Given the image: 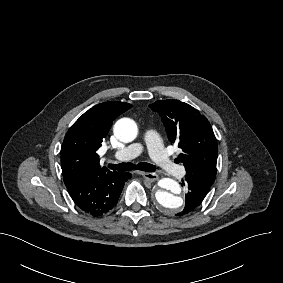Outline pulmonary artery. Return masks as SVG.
Wrapping results in <instances>:
<instances>
[{
  "instance_id": "e3ab8cb5",
  "label": "pulmonary artery",
  "mask_w": 283,
  "mask_h": 283,
  "mask_svg": "<svg viewBox=\"0 0 283 283\" xmlns=\"http://www.w3.org/2000/svg\"><path fill=\"white\" fill-rule=\"evenodd\" d=\"M156 131L153 129H147L144 132V141L147 143L149 154L151 156V161L154 165L164 171L165 173H172L176 169V162L168 157L165 153V148L163 146L162 139L155 135ZM142 145L136 144L124 151H119L114 154V157L120 161L129 160L142 152ZM179 168L175 171L176 176L184 175V167L182 165H177Z\"/></svg>"
}]
</instances>
